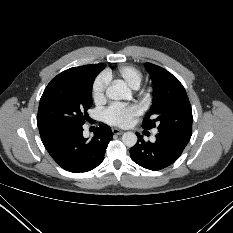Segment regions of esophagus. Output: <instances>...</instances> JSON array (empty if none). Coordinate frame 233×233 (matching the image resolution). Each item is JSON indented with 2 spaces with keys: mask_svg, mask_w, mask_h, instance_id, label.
I'll use <instances>...</instances> for the list:
<instances>
[{
  "mask_svg": "<svg viewBox=\"0 0 233 233\" xmlns=\"http://www.w3.org/2000/svg\"><path fill=\"white\" fill-rule=\"evenodd\" d=\"M112 132H113V134H116V135H121L123 133V131L121 129H118V128H113Z\"/></svg>",
  "mask_w": 233,
  "mask_h": 233,
  "instance_id": "obj_1",
  "label": "esophagus"
}]
</instances>
